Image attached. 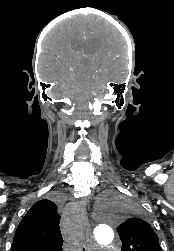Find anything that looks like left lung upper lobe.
I'll return each mask as SVG.
<instances>
[{"mask_svg":"<svg viewBox=\"0 0 174 251\" xmlns=\"http://www.w3.org/2000/svg\"><path fill=\"white\" fill-rule=\"evenodd\" d=\"M117 232L122 241V251H162L156 233L138 217L121 224Z\"/></svg>","mask_w":174,"mask_h":251,"instance_id":"left-lung-upper-lobe-1","label":"left lung upper lobe"}]
</instances>
